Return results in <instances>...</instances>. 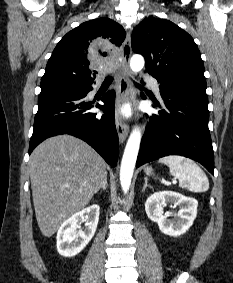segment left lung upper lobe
I'll return each mask as SVG.
<instances>
[{
	"instance_id": "1",
	"label": "left lung upper lobe",
	"mask_w": 233,
	"mask_h": 283,
	"mask_svg": "<svg viewBox=\"0 0 233 283\" xmlns=\"http://www.w3.org/2000/svg\"><path fill=\"white\" fill-rule=\"evenodd\" d=\"M132 49L145 58L146 71L162 87L193 85L206 88L204 65L192 37L168 20L146 18L134 30Z\"/></svg>"
}]
</instances>
